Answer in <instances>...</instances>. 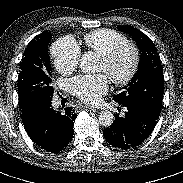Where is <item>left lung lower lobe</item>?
Here are the masks:
<instances>
[{"label":"left lung lower lobe","mask_w":183,"mask_h":183,"mask_svg":"<svg viewBox=\"0 0 183 183\" xmlns=\"http://www.w3.org/2000/svg\"><path fill=\"white\" fill-rule=\"evenodd\" d=\"M123 106L127 108L125 116L116 114L115 121L103 135L110 145L126 150L139 146L149 137L159 116L135 104Z\"/></svg>","instance_id":"0a47b994"}]
</instances>
